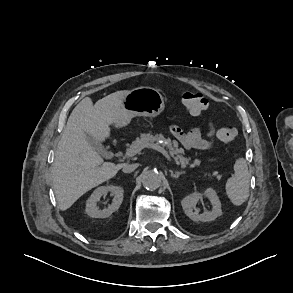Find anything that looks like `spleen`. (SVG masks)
<instances>
[{"mask_svg": "<svg viewBox=\"0 0 293 293\" xmlns=\"http://www.w3.org/2000/svg\"><path fill=\"white\" fill-rule=\"evenodd\" d=\"M234 175L226 182V194L230 201L242 205L249 197V172L246 160L239 158L234 164Z\"/></svg>", "mask_w": 293, "mask_h": 293, "instance_id": "3e777b00", "label": "spleen"}]
</instances>
